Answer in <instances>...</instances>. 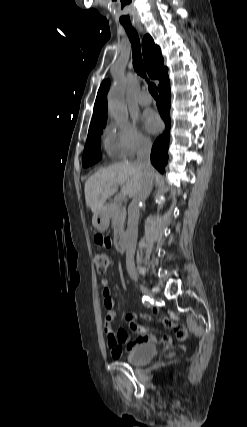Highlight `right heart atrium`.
Wrapping results in <instances>:
<instances>
[{"label":"right heart atrium","instance_id":"1","mask_svg":"<svg viewBox=\"0 0 247 427\" xmlns=\"http://www.w3.org/2000/svg\"><path fill=\"white\" fill-rule=\"evenodd\" d=\"M105 144L109 153L120 159L132 158L148 150L151 141L135 124L110 122L106 126Z\"/></svg>","mask_w":247,"mask_h":427}]
</instances>
